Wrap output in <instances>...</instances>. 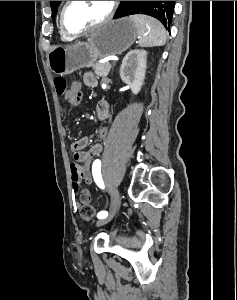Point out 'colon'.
I'll return each instance as SVG.
<instances>
[{"instance_id": "colon-1", "label": "colon", "mask_w": 237, "mask_h": 300, "mask_svg": "<svg viewBox=\"0 0 237 300\" xmlns=\"http://www.w3.org/2000/svg\"><path fill=\"white\" fill-rule=\"evenodd\" d=\"M54 85L58 96L64 97L72 107L79 105L82 98L81 90H78L75 93H69L68 83L61 77L54 79ZM72 185L75 190H77L80 186V177L77 172L72 174ZM77 205L79 206L80 214L84 219H91L93 217L94 208L90 203V194L87 190L82 191Z\"/></svg>"}]
</instances>
